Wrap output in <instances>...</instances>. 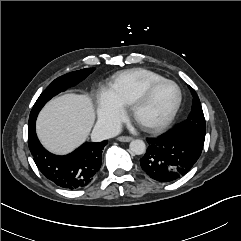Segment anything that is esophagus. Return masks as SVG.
I'll return each instance as SVG.
<instances>
[{
    "mask_svg": "<svg viewBox=\"0 0 241 241\" xmlns=\"http://www.w3.org/2000/svg\"><path fill=\"white\" fill-rule=\"evenodd\" d=\"M117 139L121 142H130L133 138L130 136H120Z\"/></svg>",
    "mask_w": 241,
    "mask_h": 241,
    "instance_id": "obj_1",
    "label": "esophagus"
}]
</instances>
